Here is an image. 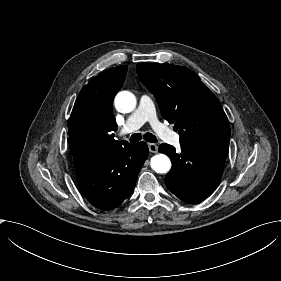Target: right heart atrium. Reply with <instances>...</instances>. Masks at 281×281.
<instances>
[{
  "label": "right heart atrium",
  "mask_w": 281,
  "mask_h": 281,
  "mask_svg": "<svg viewBox=\"0 0 281 281\" xmlns=\"http://www.w3.org/2000/svg\"><path fill=\"white\" fill-rule=\"evenodd\" d=\"M116 107L128 109L130 105V96L124 91L119 92L115 98Z\"/></svg>",
  "instance_id": "obj_1"
}]
</instances>
